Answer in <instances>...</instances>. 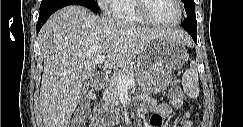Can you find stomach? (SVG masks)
I'll list each match as a JSON object with an SVG mask.
<instances>
[{"label":"stomach","mask_w":243,"mask_h":127,"mask_svg":"<svg viewBox=\"0 0 243 127\" xmlns=\"http://www.w3.org/2000/svg\"><path fill=\"white\" fill-rule=\"evenodd\" d=\"M187 59V51L180 42L168 37L154 38L138 55L136 79L151 91L163 90Z\"/></svg>","instance_id":"stomach-1"}]
</instances>
